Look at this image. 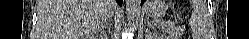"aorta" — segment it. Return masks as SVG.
<instances>
[{"instance_id": "aorta-1", "label": "aorta", "mask_w": 249, "mask_h": 39, "mask_svg": "<svg viewBox=\"0 0 249 39\" xmlns=\"http://www.w3.org/2000/svg\"><path fill=\"white\" fill-rule=\"evenodd\" d=\"M128 23L135 27L140 14V0H125Z\"/></svg>"}]
</instances>
